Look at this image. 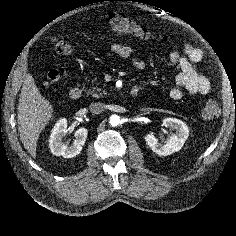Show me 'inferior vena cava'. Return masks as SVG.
Segmentation results:
<instances>
[{
  "label": "inferior vena cava",
  "mask_w": 236,
  "mask_h": 236,
  "mask_svg": "<svg viewBox=\"0 0 236 236\" xmlns=\"http://www.w3.org/2000/svg\"><path fill=\"white\" fill-rule=\"evenodd\" d=\"M104 104L100 103V102H95V103H91L89 106V110L91 113L93 114H100L104 111Z\"/></svg>",
  "instance_id": "1"
}]
</instances>
